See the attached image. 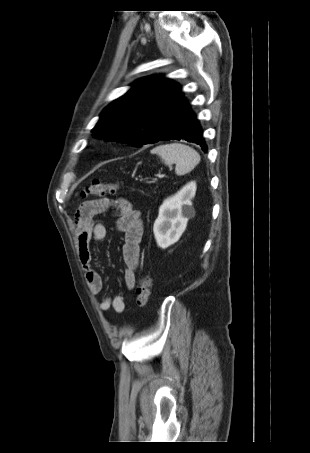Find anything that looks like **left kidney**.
Segmentation results:
<instances>
[{
	"label": "left kidney",
	"mask_w": 310,
	"mask_h": 453,
	"mask_svg": "<svg viewBox=\"0 0 310 453\" xmlns=\"http://www.w3.org/2000/svg\"><path fill=\"white\" fill-rule=\"evenodd\" d=\"M195 194L196 182L192 181L174 196L164 200L153 227L158 247L166 249L180 239L188 220L195 215L191 201Z\"/></svg>",
	"instance_id": "5707ae66"
}]
</instances>
